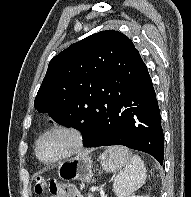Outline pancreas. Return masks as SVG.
<instances>
[{"instance_id": "1", "label": "pancreas", "mask_w": 191, "mask_h": 197, "mask_svg": "<svg viewBox=\"0 0 191 197\" xmlns=\"http://www.w3.org/2000/svg\"><path fill=\"white\" fill-rule=\"evenodd\" d=\"M88 197H93V195L92 194H89Z\"/></svg>"}]
</instances>
